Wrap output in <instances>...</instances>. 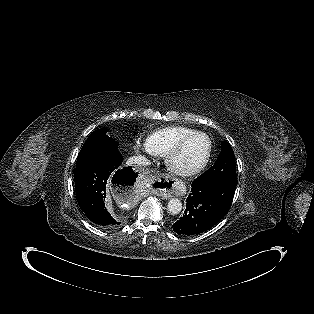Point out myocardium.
I'll list each match as a JSON object with an SVG mask.
<instances>
[{
    "instance_id": "myocardium-1",
    "label": "myocardium",
    "mask_w": 314,
    "mask_h": 314,
    "mask_svg": "<svg viewBox=\"0 0 314 314\" xmlns=\"http://www.w3.org/2000/svg\"><path fill=\"white\" fill-rule=\"evenodd\" d=\"M202 136L207 140L208 149L205 158L201 163L194 167L185 168L178 164V159L183 153L187 143L193 138ZM213 152V144L211 138L204 132L196 131L184 137L167 155L165 158L166 167L176 175L183 177L195 176L201 173L210 163Z\"/></svg>"
}]
</instances>
